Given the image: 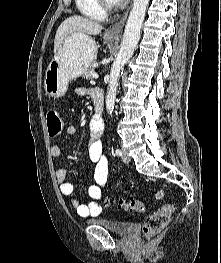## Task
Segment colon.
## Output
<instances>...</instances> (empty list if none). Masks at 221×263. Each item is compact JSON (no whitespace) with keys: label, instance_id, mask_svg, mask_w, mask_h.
<instances>
[{"label":"colon","instance_id":"1","mask_svg":"<svg viewBox=\"0 0 221 263\" xmlns=\"http://www.w3.org/2000/svg\"><path fill=\"white\" fill-rule=\"evenodd\" d=\"M47 126L50 137L59 135L63 128V119L61 112L57 108H51L47 111ZM164 192L159 190L156 194L158 199L162 198ZM115 203L119 208L129 210L135 213H143L145 205L141 200L137 199H116ZM173 212V205L166 204L156 212L148 216L143 224V232L147 236H153L163 231L170 221Z\"/></svg>","mask_w":221,"mask_h":263}]
</instances>
